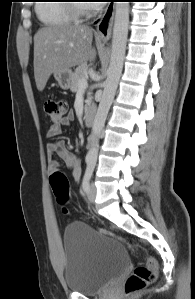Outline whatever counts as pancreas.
<instances>
[{
  "instance_id": "1",
  "label": "pancreas",
  "mask_w": 195,
  "mask_h": 299,
  "mask_svg": "<svg viewBox=\"0 0 195 299\" xmlns=\"http://www.w3.org/2000/svg\"><path fill=\"white\" fill-rule=\"evenodd\" d=\"M88 69V66L86 63H83L81 65H79L75 72L72 75V81H71V86H70V90L72 92H76L79 89V80H81L82 78H84L86 76V71ZM92 101V97L89 94L86 100V108L87 106L91 103Z\"/></svg>"
}]
</instances>
